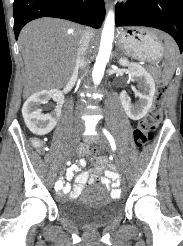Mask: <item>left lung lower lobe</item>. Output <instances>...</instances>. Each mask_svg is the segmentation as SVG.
Returning a JSON list of instances; mask_svg holds the SVG:
<instances>
[{"label":"left lung lower lobe","mask_w":183,"mask_h":246,"mask_svg":"<svg viewBox=\"0 0 183 246\" xmlns=\"http://www.w3.org/2000/svg\"><path fill=\"white\" fill-rule=\"evenodd\" d=\"M116 26H147L163 30L183 51V0H128L116 6Z\"/></svg>","instance_id":"left-lung-lower-lobe-1"}]
</instances>
